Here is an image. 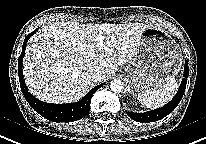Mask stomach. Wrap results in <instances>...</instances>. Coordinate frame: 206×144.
Returning <instances> with one entry per match:
<instances>
[{"label": "stomach", "instance_id": "1", "mask_svg": "<svg viewBox=\"0 0 206 144\" xmlns=\"http://www.w3.org/2000/svg\"><path fill=\"white\" fill-rule=\"evenodd\" d=\"M180 66L181 54L175 41L164 30L148 26L125 67L129 93L139 97L160 88L178 73Z\"/></svg>", "mask_w": 206, "mask_h": 144}]
</instances>
